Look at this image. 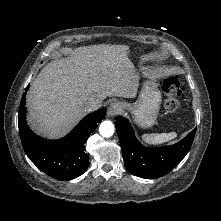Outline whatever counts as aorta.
Masks as SVG:
<instances>
[{
    "mask_svg": "<svg viewBox=\"0 0 221 221\" xmlns=\"http://www.w3.org/2000/svg\"><path fill=\"white\" fill-rule=\"evenodd\" d=\"M99 132L101 136L109 138L114 134V125L111 121H103L100 124Z\"/></svg>",
    "mask_w": 221,
    "mask_h": 221,
    "instance_id": "762f6f07",
    "label": "aorta"
}]
</instances>
